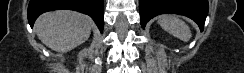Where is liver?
I'll return each instance as SVG.
<instances>
[{"label":"liver","instance_id":"obj_1","mask_svg":"<svg viewBox=\"0 0 244 73\" xmlns=\"http://www.w3.org/2000/svg\"><path fill=\"white\" fill-rule=\"evenodd\" d=\"M92 27L90 17L70 10L44 13L35 22L41 42L60 53L68 52L87 41Z\"/></svg>","mask_w":244,"mask_h":73}]
</instances>
